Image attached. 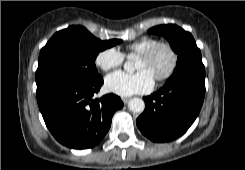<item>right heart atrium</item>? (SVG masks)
I'll return each mask as SVG.
<instances>
[{
  "label": "right heart atrium",
  "mask_w": 245,
  "mask_h": 170,
  "mask_svg": "<svg viewBox=\"0 0 245 170\" xmlns=\"http://www.w3.org/2000/svg\"><path fill=\"white\" fill-rule=\"evenodd\" d=\"M124 54L115 47L101 50L95 57V65L103 71L115 69L123 64Z\"/></svg>",
  "instance_id": "right-heart-atrium-1"
}]
</instances>
